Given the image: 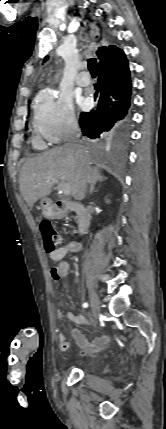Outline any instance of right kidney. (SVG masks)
Wrapping results in <instances>:
<instances>
[{"instance_id": "1", "label": "right kidney", "mask_w": 166, "mask_h": 429, "mask_svg": "<svg viewBox=\"0 0 166 429\" xmlns=\"http://www.w3.org/2000/svg\"><path fill=\"white\" fill-rule=\"evenodd\" d=\"M105 202L108 203V204L110 203V201L108 199H105Z\"/></svg>"}]
</instances>
